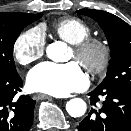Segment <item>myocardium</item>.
I'll use <instances>...</instances> for the list:
<instances>
[{"mask_svg":"<svg viewBox=\"0 0 131 131\" xmlns=\"http://www.w3.org/2000/svg\"><path fill=\"white\" fill-rule=\"evenodd\" d=\"M73 53L74 57L92 75L105 73L112 60L109 43L97 37H88L73 45Z\"/></svg>","mask_w":131,"mask_h":131,"instance_id":"f54148a6","label":"myocardium"}]
</instances>
